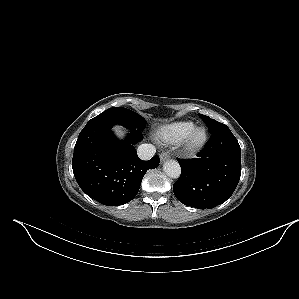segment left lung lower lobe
Returning <instances> with one entry per match:
<instances>
[{"label": "left lung lower lobe", "instance_id": "1", "mask_svg": "<svg viewBox=\"0 0 299 299\" xmlns=\"http://www.w3.org/2000/svg\"><path fill=\"white\" fill-rule=\"evenodd\" d=\"M211 134L198 158L179 161L181 176L173 185L181 203L198 209L226 201L241 175V149L230 129L225 125Z\"/></svg>", "mask_w": 299, "mask_h": 299}]
</instances>
